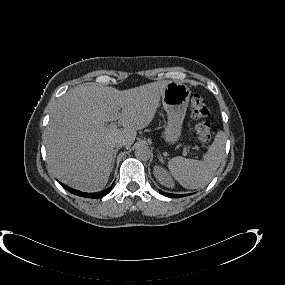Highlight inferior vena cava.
I'll return each mask as SVG.
<instances>
[{
  "label": "inferior vena cava",
  "instance_id": "obj_1",
  "mask_svg": "<svg viewBox=\"0 0 285 285\" xmlns=\"http://www.w3.org/2000/svg\"><path fill=\"white\" fill-rule=\"evenodd\" d=\"M126 142L124 139H117L115 142H114V147H122V146H125Z\"/></svg>",
  "mask_w": 285,
  "mask_h": 285
}]
</instances>
